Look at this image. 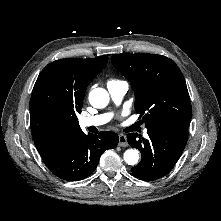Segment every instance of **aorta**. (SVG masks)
<instances>
[{"label": "aorta", "mask_w": 221, "mask_h": 221, "mask_svg": "<svg viewBox=\"0 0 221 221\" xmlns=\"http://www.w3.org/2000/svg\"><path fill=\"white\" fill-rule=\"evenodd\" d=\"M109 94L103 88H95L89 94V102L95 108H104L109 103ZM124 160L128 165H135L139 160L136 149H128L124 153Z\"/></svg>", "instance_id": "762f6f07"}]
</instances>
